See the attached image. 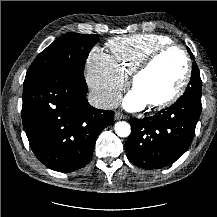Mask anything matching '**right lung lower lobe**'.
<instances>
[{
	"mask_svg": "<svg viewBox=\"0 0 217 217\" xmlns=\"http://www.w3.org/2000/svg\"><path fill=\"white\" fill-rule=\"evenodd\" d=\"M87 85L56 68L24 81L22 122L36 157L48 168L72 172L85 166L114 112L92 107Z\"/></svg>",
	"mask_w": 217,
	"mask_h": 217,
	"instance_id": "obj_1",
	"label": "right lung lower lobe"
}]
</instances>
